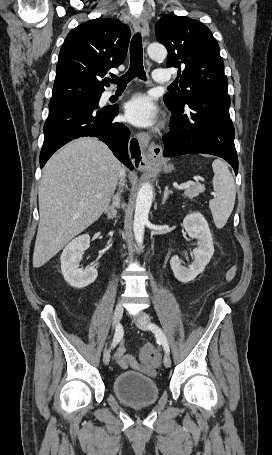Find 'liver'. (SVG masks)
I'll list each match as a JSON object with an SVG mask.
<instances>
[{
	"label": "liver",
	"mask_w": 272,
	"mask_h": 455,
	"mask_svg": "<svg viewBox=\"0 0 272 455\" xmlns=\"http://www.w3.org/2000/svg\"><path fill=\"white\" fill-rule=\"evenodd\" d=\"M121 169L110 149L91 137L76 139L51 157L39 186L34 268L46 264L99 219L110 203Z\"/></svg>",
	"instance_id": "obj_1"
}]
</instances>
